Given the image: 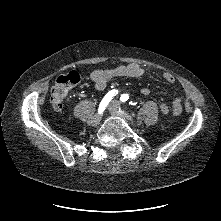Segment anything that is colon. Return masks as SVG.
<instances>
[{"label": "colon", "mask_w": 221, "mask_h": 221, "mask_svg": "<svg viewBox=\"0 0 221 221\" xmlns=\"http://www.w3.org/2000/svg\"><path fill=\"white\" fill-rule=\"evenodd\" d=\"M79 81L80 77L76 71H71L70 73L61 75L56 79L51 88L50 94V103L55 111H61L63 109L64 101L68 96L70 89ZM160 108L164 115H168L171 112L173 113V110L165 104L161 105Z\"/></svg>", "instance_id": "colon-1"}]
</instances>
